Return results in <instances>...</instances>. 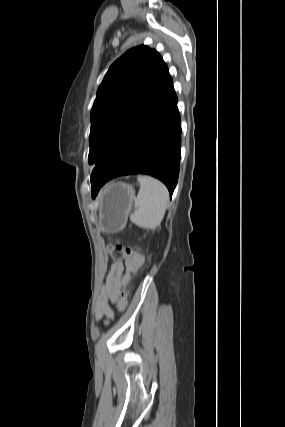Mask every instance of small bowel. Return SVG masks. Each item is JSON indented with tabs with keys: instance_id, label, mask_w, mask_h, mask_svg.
Masks as SVG:
<instances>
[{
	"instance_id": "obj_1",
	"label": "small bowel",
	"mask_w": 285,
	"mask_h": 427,
	"mask_svg": "<svg viewBox=\"0 0 285 427\" xmlns=\"http://www.w3.org/2000/svg\"><path fill=\"white\" fill-rule=\"evenodd\" d=\"M144 261V257L137 254L126 260L125 263L117 261L112 264L106 283L96 302V315L99 319L107 322L112 318L113 311L110 303L116 302L118 299L119 292L127 279L126 270L137 269L144 264Z\"/></svg>"
}]
</instances>
